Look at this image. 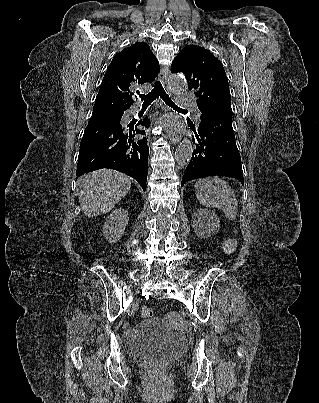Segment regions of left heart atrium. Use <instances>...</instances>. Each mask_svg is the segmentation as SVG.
<instances>
[{
    "instance_id": "1",
    "label": "left heart atrium",
    "mask_w": 319,
    "mask_h": 403,
    "mask_svg": "<svg viewBox=\"0 0 319 403\" xmlns=\"http://www.w3.org/2000/svg\"><path fill=\"white\" fill-rule=\"evenodd\" d=\"M163 123H164V125H168V124H169L167 120L163 121Z\"/></svg>"
}]
</instances>
